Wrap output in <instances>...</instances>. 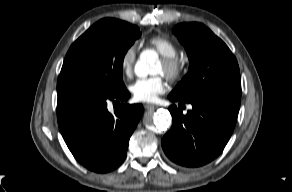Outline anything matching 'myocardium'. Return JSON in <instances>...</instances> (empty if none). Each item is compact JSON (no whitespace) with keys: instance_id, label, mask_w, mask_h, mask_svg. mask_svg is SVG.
Wrapping results in <instances>:
<instances>
[{"instance_id":"1","label":"myocardium","mask_w":292,"mask_h":192,"mask_svg":"<svg viewBox=\"0 0 292 192\" xmlns=\"http://www.w3.org/2000/svg\"><path fill=\"white\" fill-rule=\"evenodd\" d=\"M162 64L164 68L163 73L170 80L178 79L183 73L184 63L177 56L172 57V58L163 57Z\"/></svg>"}]
</instances>
